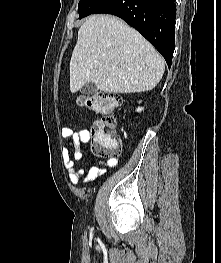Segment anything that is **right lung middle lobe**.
<instances>
[{"instance_id":"obj_1","label":"right lung middle lobe","mask_w":221,"mask_h":263,"mask_svg":"<svg viewBox=\"0 0 221 263\" xmlns=\"http://www.w3.org/2000/svg\"><path fill=\"white\" fill-rule=\"evenodd\" d=\"M106 0H80L78 4L79 19L86 17L93 12Z\"/></svg>"}]
</instances>
